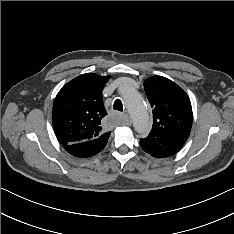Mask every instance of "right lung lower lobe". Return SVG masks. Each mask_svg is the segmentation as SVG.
Here are the masks:
<instances>
[{
	"label": "right lung lower lobe",
	"instance_id": "1",
	"mask_svg": "<svg viewBox=\"0 0 234 234\" xmlns=\"http://www.w3.org/2000/svg\"><path fill=\"white\" fill-rule=\"evenodd\" d=\"M108 139H93L85 142L64 146L71 155L80 158L91 157L100 152L107 144Z\"/></svg>",
	"mask_w": 234,
	"mask_h": 234
}]
</instances>
